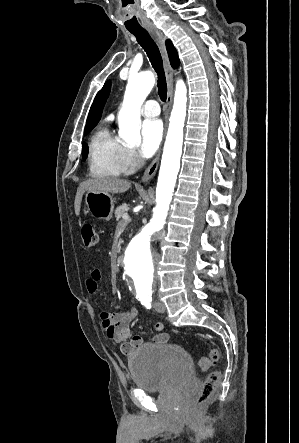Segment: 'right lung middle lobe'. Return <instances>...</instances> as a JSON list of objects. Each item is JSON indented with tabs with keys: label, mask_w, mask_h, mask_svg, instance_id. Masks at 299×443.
I'll use <instances>...</instances> for the list:
<instances>
[{
	"label": "right lung middle lobe",
	"mask_w": 299,
	"mask_h": 443,
	"mask_svg": "<svg viewBox=\"0 0 299 443\" xmlns=\"http://www.w3.org/2000/svg\"><path fill=\"white\" fill-rule=\"evenodd\" d=\"M96 126V124L94 125H89L85 127V134L89 133L94 127ZM88 155V150H87V145L84 144L83 145V152H82V156L85 159Z\"/></svg>",
	"instance_id": "dd1d6c3e"
}]
</instances>
